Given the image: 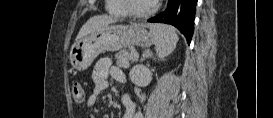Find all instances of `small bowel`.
Segmentation results:
<instances>
[{
	"instance_id": "c3829d8e",
	"label": "small bowel",
	"mask_w": 273,
	"mask_h": 118,
	"mask_svg": "<svg viewBox=\"0 0 273 118\" xmlns=\"http://www.w3.org/2000/svg\"><path fill=\"white\" fill-rule=\"evenodd\" d=\"M109 76H112L116 81L120 83H126V76L123 71L113 66L109 58H101L97 61L92 72L94 88L86 101V106L88 108H93L96 106L99 95L108 86ZM123 103L125 105V113L123 115V118H142L141 111L136 109L135 105L129 98L124 97Z\"/></svg>"
}]
</instances>
